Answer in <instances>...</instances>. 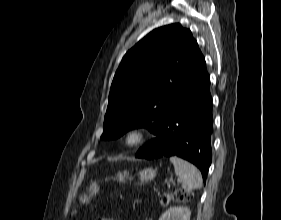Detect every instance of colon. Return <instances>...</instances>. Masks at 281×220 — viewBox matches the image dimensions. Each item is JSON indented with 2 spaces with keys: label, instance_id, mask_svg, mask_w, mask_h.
Instances as JSON below:
<instances>
[{
  "label": "colon",
  "instance_id": "5ec220e1",
  "mask_svg": "<svg viewBox=\"0 0 281 220\" xmlns=\"http://www.w3.org/2000/svg\"><path fill=\"white\" fill-rule=\"evenodd\" d=\"M192 198L191 193L187 191L178 190L173 192L172 194H163L161 197V202L163 204L169 203L171 199H175L180 202H186ZM101 220V219H98Z\"/></svg>",
  "mask_w": 281,
  "mask_h": 220
}]
</instances>
